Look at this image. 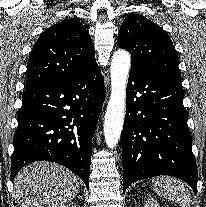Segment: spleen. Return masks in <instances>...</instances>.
<instances>
[{"mask_svg": "<svg viewBox=\"0 0 206 207\" xmlns=\"http://www.w3.org/2000/svg\"><path fill=\"white\" fill-rule=\"evenodd\" d=\"M154 191L161 197L172 200L181 207H190L191 194L185 184L171 177H157L152 180Z\"/></svg>", "mask_w": 206, "mask_h": 207, "instance_id": "spleen-1", "label": "spleen"}]
</instances>
